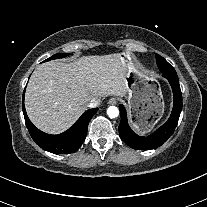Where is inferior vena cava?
<instances>
[{"instance_id":"inferior-vena-cava-1","label":"inferior vena cava","mask_w":207,"mask_h":207,"mask_svg":"<svg viewBox=\"0 0 207 207\" xmlns=\"http://www.w3.org/2000/svg\"><path fill=\"white\" fill-rule=\"evenodd\" d=\"M100 105V99L97 98H92L89 103H88V107L89 108H96L97 106Z\"/></svg>"}]
</instances>
